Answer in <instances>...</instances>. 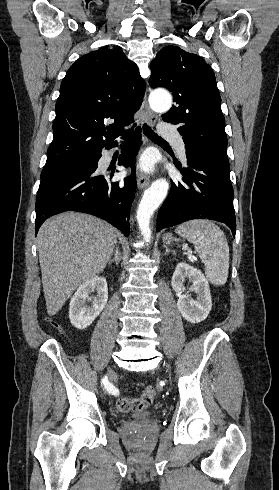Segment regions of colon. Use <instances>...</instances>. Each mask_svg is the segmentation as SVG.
Wrapping results in <instances>:
<instances>
[{
  "instance_id": "5ec220e1",
  "label": "colon",
  "mask_w": 279,
  "mask_h": 490,
  "mask_svg": "<svg viewBox=\"0 0 279 490\" xmlns=\"http://www.w3.org/2000/svg\"><path fill=\"white\" fill-rule=\"evenodd\" d=\"M155 398V390L148 388L138 398L122 397L117 402V409L120 412L126 413L130 411H142L149 407Z\"/></svg>"
}]
</instances>
